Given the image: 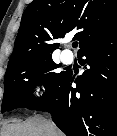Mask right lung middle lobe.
<instances>
[{
  "instance_id": "1",
  "label": "right lung middle lobe",
  "mask_w": 117,
  "mask_h": 136,
  "mask_svg": "<svg viewBox=\"0 0 117 136\" xmlns=\"http://www.w3.org/2000/svg\"><path fill=\"white\" fill-rule=\"evenodd\" d=\"M59 65L51 56L30 57L9 64L4 78V96L1 112L11 111L28 105L33 99L36 85L45 86L46 96L64 78L67 72H56Z\"/></svg>"
}]
</instances>
